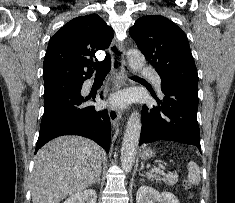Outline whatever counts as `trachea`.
<instances>
[{
    "instance_id": "1",
    "label": "trachea",
    "mask_w": 235,
    "mask_h": 203,
    "mask_svg": "<svg viewBox=\"0 0 235 203\" xmlns=\"http://www.w3.org/2000/svg\"><path fill=\"white\" fill-rule=\"evenodd\" d=\"M92 66L96 69L97 76H106L111 68V57L109 54L106 55V58L99 63H93Z\"/></svg>"
}]
</instances>
